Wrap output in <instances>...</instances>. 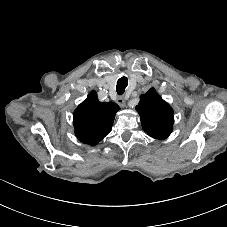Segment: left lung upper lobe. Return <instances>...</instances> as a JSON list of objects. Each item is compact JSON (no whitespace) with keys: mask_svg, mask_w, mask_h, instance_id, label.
<instances>
[{"mask_svg":"<svg viewBox=\"0 0 227 227\" xmlns=\"http://www.w3.org/2000/svg\"><path fill=\"white\" fill-rule=\"evenodd\" d=\"M136 110L144 131L155 139H166L173 129V109L154 88L141 95Z\"/></svg>","mask_w":227,"mask_h":227,"instance_id":"obj_1","label":"left lung upper lobe"}]
</instances>
